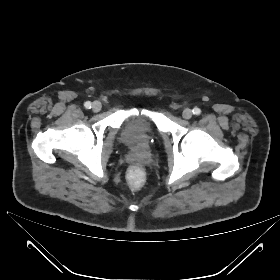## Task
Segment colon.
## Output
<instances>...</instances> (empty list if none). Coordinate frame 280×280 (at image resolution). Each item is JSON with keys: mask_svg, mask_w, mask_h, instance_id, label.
Listing matches in <instances>:
<instances>
[{"mask_svg": "<svg viewBox=\"0 0 280 280\" xmlns=\"http://www.w3.org/2000/svg\"><path fill=\"white\" fill-rule=\"evenodd\" d=\"M144 182V173L139 167H132L128 176V185L131 189H139Z\"/></svg>", "mask_w": 280, "mask_h": 280, "instance_id": "obj_1", "label": "colon"}]
</instances>
